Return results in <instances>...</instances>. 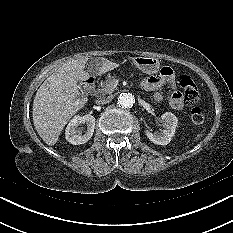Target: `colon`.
Wrapping results in <instances>:
<instances>
[{
  "label": "colon",
  "mask_w": 233,
  "mask_h": 233,
  "mask_svg": "<svg viewBox=\"0 0 233 233\" xmlns=\"http://www.w3.org/2000/svg\"><path fill=\"white\" fill-rule=\"evenodd\" d=\"M180 86L182 88V95L184 100L191 106V120L194 124H202L204 122L203 110L196 106L200 101V94L197 89L196 83L189 75L182 74L179 77Z\"/></svg>",
  "instance_id": "5ec220e1"
}]
</instances>
